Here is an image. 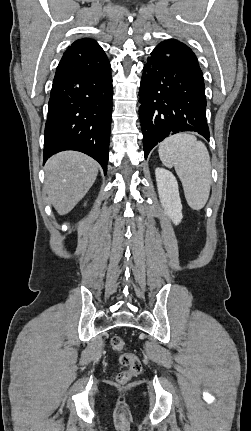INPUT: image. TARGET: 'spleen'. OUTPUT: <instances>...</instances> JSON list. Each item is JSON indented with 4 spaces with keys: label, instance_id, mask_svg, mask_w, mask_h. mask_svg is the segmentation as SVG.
Returning a JSON list of instances; mask_svg holds the SVG:
<instances>
[{
    "label": "spleen",
    "instance_id": "3e777b00",
    "mask_svg": "<svg viewBox=\"0 0 251 431\" xmlns=\"http://www.w3.org/2000/svg\"><path fill=\"white\" fill-rule=\"evenodd\" d=\"M162 163L174 166L188 205L200 210L206 204L211 185L210 156L205 144L194 135L179 133L166 138L158 149Z\"/></svg>",
    "mask_w": 251,
    "mask_h": 431
}]
</instances>
